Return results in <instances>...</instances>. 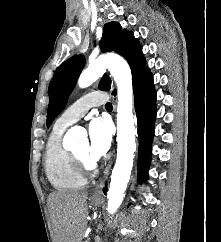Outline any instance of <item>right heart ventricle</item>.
<instances>
[{
    "mask_svg": "<svg viewBox=\"0 0 221 242\" xmlns=\"http://www.w3.org/2000/svg\"><path fill=\"white\" fill-rule=\"evenodd\" d=\"M64 130L54 125L44 154L46 177L52 187L59 191L76 190L86 184V178L78 170L72 153L61 144Z\"/></svg>",
    "mask_w": 221,
    "mask_h": 242,
    "instance_id": "e07e8e85",
    "label": "right heart ventricle"
}]
</instances>
